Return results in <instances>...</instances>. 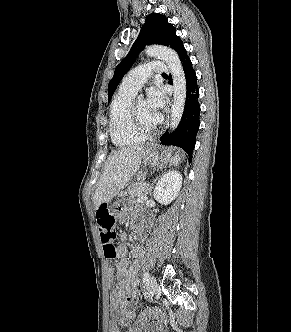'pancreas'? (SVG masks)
<instances>
[{
  "label": "pancreas",
  "mask_w": 291,
  "mask_h": 332,
  "mask_svg": "<svg viewBox=\"0 0 291 332\" xmlns=\"http://www.w3.org/2000/svg\"><path fill=\"white\" fill-rule=\"evenodd\" d=\"M149 187L147 183L138 182L130 185L127 189V193L130 198H145L148 194Z\"/></svg>",
  "instance_id": "1"
}]
</instances>
